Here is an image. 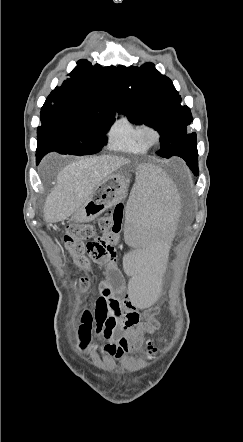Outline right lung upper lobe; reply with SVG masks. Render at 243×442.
<instances>
[{
	"label": "right lung upper lobe",
	"instance_id": "right-lung-upper-lobe-1",
	"mask_svg": "<svg viewBox=\"0 0 243 442\" xmlns=\"http://www.w3.org/2000/svg\"><path fill=\"white\" fill-rule=\"evenodd\" d=\"M71 78L56 87L46 101L85 114H108L114 120L119 93V78L114 66H92L79 60Z\"/></svg>",
	"mask_w": 243,
	"mask_h": 442
}]
</instances>
